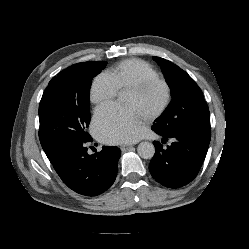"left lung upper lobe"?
I'll return each mask as SVG.
<instances>
[{
	"mask_svg": "<svg viewBox=\"0 0 249 249\" xmlns=\"http://www.w3.org/2000/svg\"><path fill=\"white\" fill-rule=\"evenodd\" d=\"M153 59L161 66L172 100L152 128L165 136L211 133L209 109L199 86L172 62L160 57Z\"/></svg>",
	"mask_w": 249,
	"mask_h": 249,
	"instance_id": "left-lung-upper-lobe-1",
	"label": "left lung upper lobe"
}]
</instances>
